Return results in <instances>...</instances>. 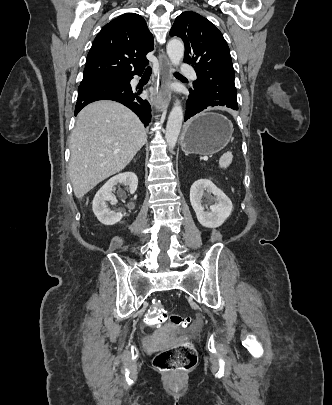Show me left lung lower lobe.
<instances>
[{"label":"left lung lower lobe","instance_id":"0a47b994","mask_svg":"<svg viewBox=\"0 0 332 405\" xmlns=\"http://www.w3.org/2000/svg\"><path fill=\"white\" fill-rule=\"evenodd\" d=\"M208 107L209 106L206 105L205 100L201 96L195 95L190 90V95L186 103L185 121Z\"/></svg>","mask_w":332,"mask_h":405}]
</instances>
